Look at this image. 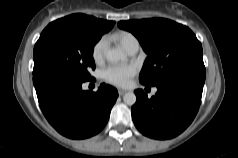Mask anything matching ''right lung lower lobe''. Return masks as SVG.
Listing matches in <instances>:
<instances>
[{
  "instance_id": "98d812e1",
  "label": "right lung lower lobe",
  "mask_w": 238,
  "mask_h": 158,
  "mask_svg": "<svg viewBox=\"0 0 238 158\" xmlns=\"http://www.w3.org/2000/svg\"><path fill=\"white\" fill-rule=\"evenodd\" d=\"M85 82L55 67L33 69V83L40 108L48 122L62 135L84 139L107 124L117 90L101 84L97 92L82 90Z\"/></svg>"
}]
</instances>
